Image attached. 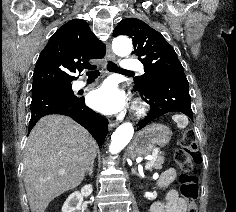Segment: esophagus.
<instances>
[{
  "label": "esophagus",
  "mask_w": 236,
  "mask_h": 212,
  "mask_svg": "<svg viewBox=\"0 0 236 212\" xmlns=\"http://www.w3.org/2000/svg\"><path fill=\"white\" fill-rule=\"evenodd\" d=\"M107 56L110 60H115L116 56L114 55V53L112 52L110 45H108L107 47ZM118 125V122L116 121H110L109 122V129H113L114 127H116Z\"/></svg>",
  "instance_id": "esophagus-1"
}]
</instances>
